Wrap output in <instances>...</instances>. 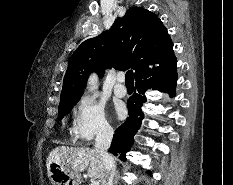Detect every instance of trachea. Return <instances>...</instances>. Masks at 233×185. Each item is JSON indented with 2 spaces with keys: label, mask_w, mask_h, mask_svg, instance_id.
I'll return each mask as SVG.
<instances>
[{
  "label": "trachea",
  "mask_w": 233,
  "mask_h": 185,
  "mask_svg": "<svg viewBox=\"0 0 233 185\" xmlns=\"http://www.w3.org/2000/svg\"><path fill=\"white\" fill-rule=\"evenodd\" d=\"M125 83H126V84H133V83H134L133 71H132V70H128V71L126 72V75H125Z\"/></svg>",
  "instance_id": "3493384b"
}]
</instances>
